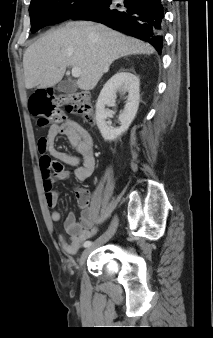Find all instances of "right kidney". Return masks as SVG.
<instances>
[{"instance_id": "ca27d5eb", "label": "right kidney", "mask_w": 213, "mask_h": 338, "mask_svg": "<svg viewBox=\"0 0 213 338\" xmlns=\"http://www.w3.org/2000/svg\"><path fill=\"white\" fill-rule=\"evenodd\" d=\"M139 78L129 72L120 71L112 76L103 86L96 103V122L102 137L106 141H113L128 130L134 120L139 107ZM128 93L124 110L119 115L120 128L108 126L106 119L112 113L105 109L106 105L113 104L117 93Z\"/></svg>"}]
</instances>
